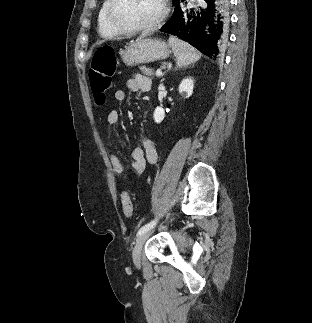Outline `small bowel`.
Listing matches in <instances>:
<instances>
[{
    "mask_svg": "<svg viewBox=\"0 0 312 323\" xmlns=\"http://www.w3.org/2000/svg\"><path fill=\"white\" fill-rule=\"evenodd\" d=\"M127 88L130 91H143L147 92L151 89L150 79L142 74H135L133 78L127 82ZM114 99L118 103H124L127 100V93L125 90L119 89L114 92ZM121 115L117 110H112L107 117V132L110 133L120 123ZM131 157L133 160V169L135 173L141 174L146 168V164H155L158 161V152L154 146V143L144 138L142 146H138L132 149ZM109 161L112 171L121 178H126L124 166L121 163L118 156L111 152L109 154Z\"/></svg>",
    "mask_w": 312,
    "mask_h": 323,
    "instance_id": "obj_1",
    "label": "small bowel"
}]
</instances>
